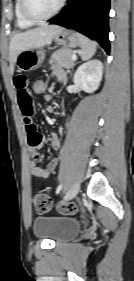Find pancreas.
Here are the masks:
<instances>
[{
    "instance_id": "1",
    "label": "pancreas",
    "mask_w": 134,
    "mask_h": 281,
    "mask_svg": "<svg viewBox=\"0 0 134 281\" xmlns=\"http://www.w3.org/2000/svg\"><path fill=\"white\" fill-rule=\"evenodd\" d=\"M73 54V50L69 48H61L52 54L49 63H56L60 68H72L74 66V61L72 60Z\"/></svg>"
}]
</instances>
